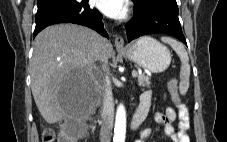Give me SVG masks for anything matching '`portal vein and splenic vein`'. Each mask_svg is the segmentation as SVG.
Returning a JSON list of instances; mask_svg holds the SVG:
<instances>
[{
    "label": "portal vein and splenic vein",
    "mask_w": 227,
    "mask_h": 142,
    "mask_svg": "<svg viewBox=\"0 0 227 142\" xmlns=\"http://www.w3.org/2000/svg\"><path fill=\"white\" fill-rule=\"evenodd\" d=\"M132 76H133L134 78H136V77L138 76V73H137L136 71H133V72H132Z\"/></svg>",
    "instance_id": "1"
}]
</instances>
